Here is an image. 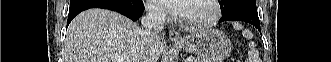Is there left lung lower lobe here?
<instances>
[{
    "mask_svg": "<svg viewBox=\"0 0 331 62\" xmlns=\"http://www.w3.org/2000/svg\"><path fill=\"white\" fill-rule=\"evenodd\" d=\"M224 21H242L249 23L256 27L260 31V21L258 13H252L246 10H236L227 14H224L219 22Z\"/></svg>",
    "mask_w": 331,
    "mask_h": 62,
    "instance_id": "1",
    "label": "left lung lower lobe"
}]
</instances>
